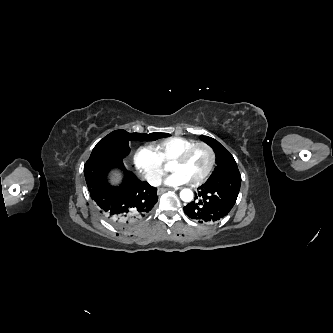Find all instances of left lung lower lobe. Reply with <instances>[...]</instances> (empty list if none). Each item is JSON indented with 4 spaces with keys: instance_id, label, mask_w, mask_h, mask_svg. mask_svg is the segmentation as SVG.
Segmentation results:
<instances>
[{
    "instance_id": "0a47b994",
    "label": "left lung lower lobe",
    "mask_w": 333,
    "mask_h": 333,
    "mask_svg": "<svg viewBox=\"0 0 333 333\" xmlns=\"http://www.w3.org/2000/svg\"><path fill=\"white\" fill-rule=\"evenodd\" d=\"M241 185L239 171L224 173L198 188L194 201L184 207L185 214L200 223H215L229 214Z\"/></svg>"
}]
</instances>
